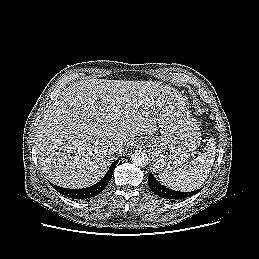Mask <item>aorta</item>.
Returning <instances> with one entry per match:
<instances>
[{
	"label": "aorta",
	"instance_id": "obj_1",
	"mask_svg": "<svg viewBox=\"0 0 259 259\" xmlns=\"http://www.w3.org/2000/svg\"><path fill=\"white\" fill-rule=\"evenodd\" d=\"M131 159L139 167H145L148 164V156L143 151H135L131 155Z\"/></svg>",
	"mask_w": 259,
	"mask_h": 259
}]
</instances>
